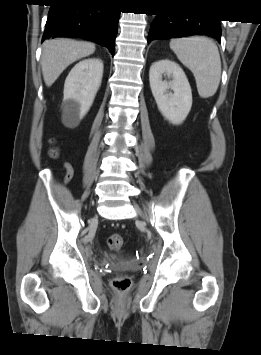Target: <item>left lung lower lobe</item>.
<instances>
[{
  "mask_svg": "<svg viewBox=\"0 0 261 355\" xmlns=\"http://www.w3.org/2000/svg\"><path fill=\"white\" fill-rule=\"evenodd\" d=\"M190 35L221 39L219 20L185 16L157 15L148 35V42L156 38H180Z\"/></svg>",
  "mask_w": 261,
  "mask_h": 355,
  "instance_id": "left-lung-lower-lobe-1",
  "label": "left lung lower lobe"
}]
</instances>
